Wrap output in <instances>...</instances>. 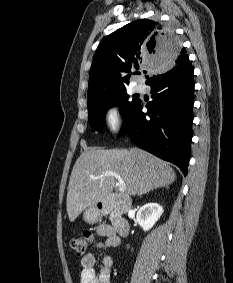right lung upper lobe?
Segmentation results:
<instances>
[{
    "label": "right lung upper lobe",
    "mask_w": 233,
    "mask_h": 283,
    "mask_svg": "<svg viewBox=\"0 0 233 283\" xmlns=\"http://www.w3.org/2000/svg\"><path fill=\"white\" fill-rule=\"evenodd\" d=\"M180 48L174 32L153 20L140 19L111 33L95 52L88 107L126 90L133 70H170V65L189 55V50ZM154 76H146V83Z\"/></svg>",
    "instance_id": "obj_1"
}]
</instances>
